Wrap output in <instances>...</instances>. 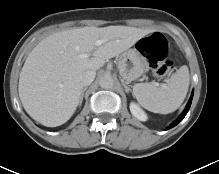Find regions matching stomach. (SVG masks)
Listing matches in <instances>:
<instances>
[{
    "mask_svg": "<svg viewBox=\"0 0 219 174\" xmlns=\"http://www.w3.org/2000/svg\"><path fill=\"white\" fill-rule=\"evenodd\" d=\"M145 68L146 60L136 47L128 49L119 57V73L126 82L139 78L144 73Z\"/></svg>",
    "mask_w": 219,
    "mask_h": 174,
    "instance_id": "obj_1",
    "label": "stomach"
}]
</instances>
